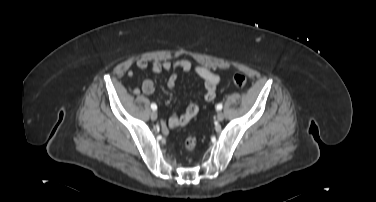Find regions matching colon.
I'll return each mask as SVG.
<instances>
[{
	"label": "colon",
	"instance_id": "colon-1",
	"mask_svg": "<svg viewBox=\"0 0 376 202\" xmlns=\"http://www.w3.org/2000/svg\"><path fill=\"white\" fill-rule=\"evenodd\" d=\"M233 83L238 88H243L247 84V79L242 74H235L233 77ZM194 112V110H192ZM197 146L196 139L194 137H188L184 142V148L188 152H194Z\"/></svg>",
	"mask_w": 376,
	"mask_h": 202
}]
</instances>
